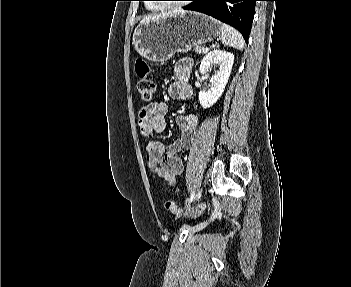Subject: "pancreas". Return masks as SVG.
<instances>
[{
    "mask_svg": "<svg viewBox=\"0 0 351 287\" xmlns=\"http://www.w3.org/2000/svg\"><path fill=\"white\" fill-rule=\"evenodd\" d=\"M203 49H204V47L201 46V45H199V44H195V45H194V50H195L197 53H199V54L202 53V52H204Z\"/></svg>",
    "mask_w": 351,
    "mask_h": 287,
    "instance_id": "pancreas-1",
    "label": "pancreas"
}]
</instances>
